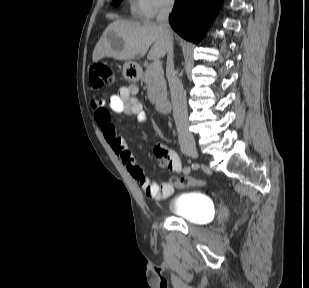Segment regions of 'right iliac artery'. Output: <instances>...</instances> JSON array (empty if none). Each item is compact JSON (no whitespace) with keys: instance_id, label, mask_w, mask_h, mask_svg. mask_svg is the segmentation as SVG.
<instances>
[{"instance_id":"right-iliac-artery-1","label":"right iliac artery","mask_w":309,"mask_h":288,"mask_svg":"<svg viewBox=\"0 0 309 288\" xmlns=\"http://www.w3.org/2000/svg\"><path fill=\"white\" fill-rule=\"evenodd\" d=\"M189 168H190L191 172H193V171L199 170L200 166L199 165H190Z\"/></svg>"}]
</instances>
